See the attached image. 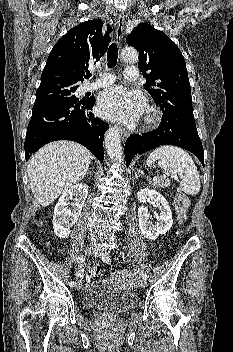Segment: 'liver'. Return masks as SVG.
Instances as JSON below:
<instances>
[{
	"mask_svg": "<svg viewBox=\"0 0 233 352\" xmlns=\"http://www.w3.org/2000/svg\"><path fill=\"white\" fill-rule=\"evenodd\" d=\"M92 154L72 141L52 142L29 160L27 171L32 193L42 206L50 205L85 176Z\"/></svg>",
	"mask_w": 233,
	"mask_h": 352,
	"instance_id": "6515ba94",
	"label": "liver"
}]
</instances>
